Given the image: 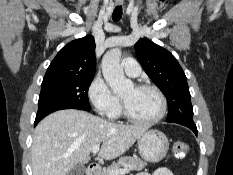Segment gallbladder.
<instances>
[{"label":"gallbladder","instance_id":"1","mask_svg":"<svg viewBox=\"0 0 233 175\" xmlns=\"http://www.w3.org/2000/svg\"><path fill=\"white\" fill-rule=\"evenodd\" d=\"M85 167L82 164H77L68 173V175H84Z\"/></svg>","mask_w":233,"mask_h":175}]
</instances>
